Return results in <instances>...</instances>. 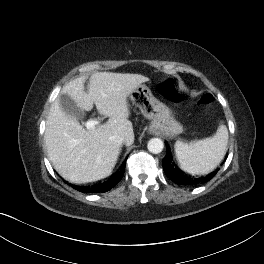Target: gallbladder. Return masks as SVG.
Segmentation results:
<instances>
[{"mask_svg": "<svg viewBox=\"0 0 264 264\" xmlns=\"http://www.w3.org/2000/svg\"><path fill=\"white\" fill-rule=\"evenodd\" d=\"M60 107L63 112L72 118L81 119L84 116V111L76 104V102L67 94L59 95Z\"/></svg>", "mask_w": 264, "mask_h": 264, "instance_id": "obj_1", "label": "gallbladder"}]
</instances>
